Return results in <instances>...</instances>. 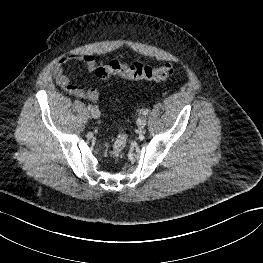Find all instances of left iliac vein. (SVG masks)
<instances>
[{
  "instance_id": "4c4485c4",
  "label": "left iliac vein",
  "mask_w": 263,
  "mask_h": 263,
  "mask_svg": "<svg viewBox=\"0 0 263 263\" xmlns=\"http://www.w3.org/2000/svg\"><path fill=\"white\" fill-rule=\"evenodd\" d=\"M146 117L145 116H140L138 119H137V126L139 129H143L146 125Z\"/></svg>"
}]
</instances>
